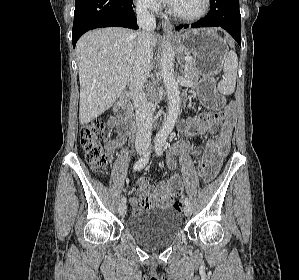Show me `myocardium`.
Listing matches in <instances>:
<instances>
[{"mask_svg": "<svg viewBox=\"0 0 299 280\" xmlns=\"http://www.w3.org/2000/svg\"><path fill=\"white\" fill-rule=\"evenodd\" d=\"M209 9H210V0H204V6L200 13H198L194 16H187V15L181 14L178 11H176L171 6L169 1L167 4V10L172 16H174L180 20L189 21V22L198 21V20L202 19L203 17H205L207 15Z\"/></svg>", "mask_w": 299, "mask_h": 280, "instance_id": "f54148a6", "label": "myocardium"}]
</instances>
